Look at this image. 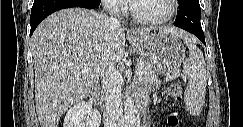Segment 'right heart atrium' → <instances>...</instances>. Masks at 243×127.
I'll use <instances>...</instances> for the list:
<instances>
[{"mask_svg":"<svg viewBox=\"0 0 243 127\" xmlns=\"http://www.w3.org/2000/svg\"><path fill=\"white\" fill-rule=\"evenodd\" d=\"M102 4L104 5L105 9L112 14H118L124 9L123 0H103Z\"/></svg>","mask_w":243,"mask_h":127,"instance_id":"obj_1","label":"right heart atrium"}]
</instances>
